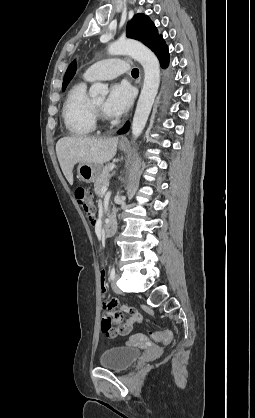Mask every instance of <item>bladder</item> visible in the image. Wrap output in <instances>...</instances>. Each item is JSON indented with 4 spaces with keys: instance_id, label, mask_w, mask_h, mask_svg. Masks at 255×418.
I'll return each mask as SVG.
<instances>
[{
    "instance_id": "bladder-1",
    "label": "bladder",
    "mask_w": 255,
    "mask_h": 418,
    "mask_svg": "<svg viewBox=\"0 0 255 418\" xmlns=\"http://www.w3.org/2000/svg\"><path fill=\"white\" fill-rule=\"evenodd\" d=\"M140 357V351L134 347L119 346L105 350L99 363L102 367L115 371H123L129 368Z\"/></svg>"
}]
</instances>
